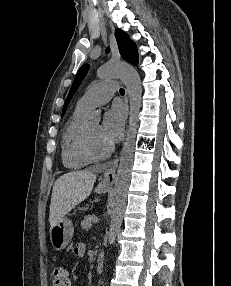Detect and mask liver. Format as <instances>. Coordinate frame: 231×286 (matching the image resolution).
<instances>
[{"label": "liver", "instance_id": "6515ba94", "mask_svg": "<svg viewBox=\"0 0 231 286\" xmlns=\"http://www.w3.org/2000/svg\"><path fill=\"white\" fill-rule=\"evenodd\" d=\"M96 175L89 171H73L60 176L54 183L49 223L57 224L76 205L84 201L91 193Z\"/></svg>", "mask_w": 231, "mask_h": 286}]
</instances>
